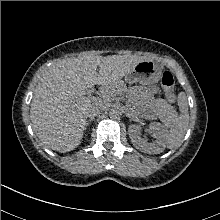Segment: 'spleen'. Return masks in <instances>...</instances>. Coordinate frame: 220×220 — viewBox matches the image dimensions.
I'll return each mask as SVG.
<instances>
[{
  "label": "spleen",
  "instance_id": "obj_1",
  "mask_svg": "<svg viewBox=\"0 0 220 220\" xmlns=\"http://www.w3.org/2000/svg\"><path fill=\"white\" fill-rule=\"evenodd\" d=\"M178 105L181 114L179 116H177L176 114L174 115L172 122L169 125L170 130L168 131L166 137V145L169 149L180 146L189 125V114L187 112L188 104L184 93H181L179 95Z\"/></svg>",
  "mask_w": 220,
  "mask_h": 220
}]
</instances>
